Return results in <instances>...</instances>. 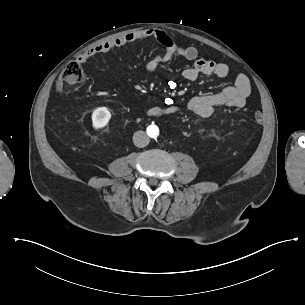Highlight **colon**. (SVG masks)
I'll list each match as a JSON object with an SVG mask.
<instances>
[{"label":"colon","instance_id":"1","mask_svg":"<svg viewBox=\"0 0 305 305\" xmlns=\"http://www.w3.org/2000/svg\"><path fill=\"white\" fill-rule=\"evenodd\" d=\"M84 73L85 68L81 62L77 60L67 62L61 76L56 81V89L58 91L68 90L70 92L79 90L83 84ZM254 120L258 124L262 123L263 117L259 111L255 112Z\"/></svg>","mask_w":305,"mask_h":305}]
</instances>
